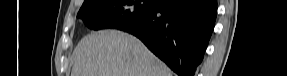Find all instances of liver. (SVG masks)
<instances>
[{"mask_svg": "<svg viewBox=\"0 0 287 76\" xmlns=\"http://www.w3.org/2000/svg\"><path fill=\"white\" fill-rule=\"evenodd\" d=\"M71 76H172L139 39L116 30L83 37L73 52Z\"/></svg>", "mask_w": 287, "mask_h": 76, "instance_id": "6515ba94", "label": "liver"}]
</instances>
